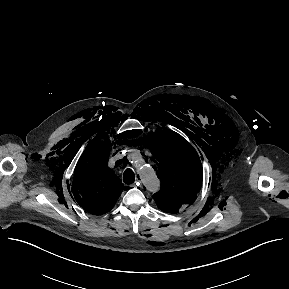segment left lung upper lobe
Returning a JSON list of instances; mask_svg holds the SVG:
<instances>
[{
	"mask_svg": "<svg viewBox=\"0 0 289 289\" xmlns=\"http://www.w3.org/2000/svg\"><path fill=\"white\" fill-rule=\"evenodd\" d=\"M146 146L161 179L160 191L152 196L158 208L177 213L181 207L193 204L202 184V165L195 149L168 129L150 134Z\"/></svg>",
	"mask_w": 289,
	"mask_h": 289,
	"instance_id": "1",
	"label": "left lung upper lobe"
}]
</instances>
